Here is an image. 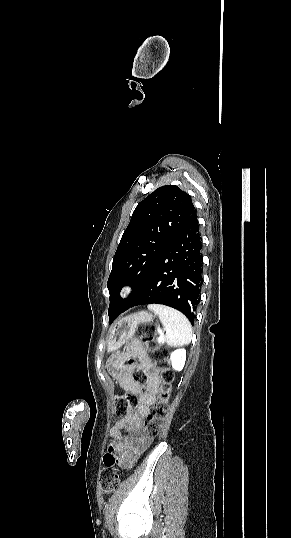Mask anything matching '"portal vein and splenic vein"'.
<instances>
[{
  "instance_id": "portal-vein-and-splenic-vein-1",
  "label": "portal vein and splenic vein",
  "mask_w": 291,
  "mask_h": 538,
  "mask_svg": "<svg viewBox=\"0 0 291 538\" xmlns=\"http://www.w3.org/2000/svg\"><path fill=\"white\" fill-rule=\"evenodd\" d=\"M163 338H164V337H163V334H162V332L160 331V336L158 337L157 341L160 343V342H162Z\"/></svg>"
}]
</instances>
